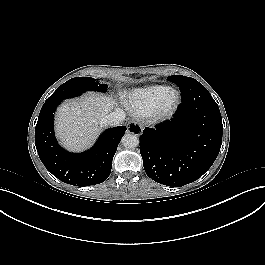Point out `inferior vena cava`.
I'll list each match as a JSON object with an SVG mask.
<instances>
[{
    "instance_id": "1",
    "label": "inferior vena cava",
    "mask_w": 265,
    "mask_h": 265,
    "mask_svg": "<svg viewBox=\"0 0 265 265\" xmlns=\"http://www.w3.org/2000/svg\"><path fill=\"white\" fill-rule=\"evenodd\" d=\"M125 114L123 111L111 112L101 119V126H119V124L124 120Z\"/></svg>"
}]
</instances>
